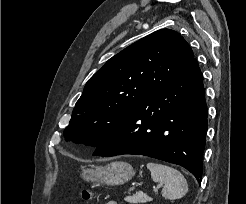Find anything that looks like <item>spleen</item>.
Here are the masks:
<instances>
[{
  "label": "spleen",
  "instance_id": "spleen-1",
  "mask_svg": "<svg viewBox=\"0 0 246 204\" xmlns=\"http://www.w3.org/2000/svg\"><path fill=\"white\" fill-rule=\"evenodd\" d=\"M154 182L163 183L162 196L166 199H180L188 192V183L183 174L177 169L159 164L147 163Z\"/></svg>",
  "mask_w": 246,
  "mask_h": 204
}]
</instances>
